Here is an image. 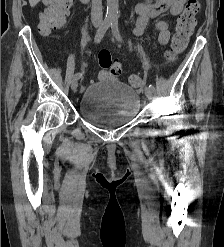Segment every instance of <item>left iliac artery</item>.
<instances>
[{
  "label": "left iliac artery",
  "instance_id": "obj_1",
  "mask_svg": "<svg viewBox=\"0 0 224 247\" xmlns=\"http://www.w3.org/2000/svg\"><path fill=\"white\" fill-rule=\"evenodd\" d=\"M111 29H112V32H113L115 38L118 41H122V37H121V35L119 33V29H118V19L117 18H113L112 19ZM149 88H151L153 91L155 90V88H154V86L152 84L149 85Z\"/></svg>",
  "mask_w": 224,
  "mask_h": 247
}]
</instances>
